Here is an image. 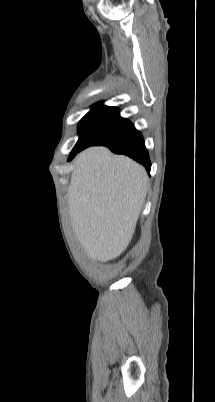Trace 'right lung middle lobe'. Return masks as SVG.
I'll use <instances>...</instances> for the list:
<instances>
[{
	"label": "right lung middle lobe",
	"instance_id": "1",
	"mask_svg": "<svg viewBox=\"0 0 215 402\" xmlns=\"http://www.w3.org/2000/svg\"><path fill=\"white\" fill-rule=\"evenodd\" d=\"M132 127L131 122L119 115L118 108L97 103L79 122V140L74 148L113 143Z\"/></svg>",
	"mask_w": 215,
	"mask_h": 402
}]
</instances>
